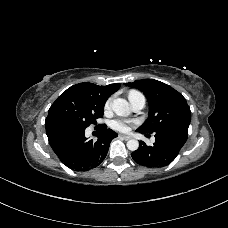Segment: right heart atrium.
Masks as SVG:
<instances>
[{"instance_id": "obj_1", "label": "right heart atrium", "mask_w": 228, "mask_h": 228, "mask_svg": "<svg viewBox=\"0 0 228 228\" xmlns=\"http://www.w3.org/2000/svg\"><path fill=\"white\" fill-rule=\"evenodd\" d=\"M108 106H109V100L106 102L105 108H107Z\"/></svg>"}]
</instances>
